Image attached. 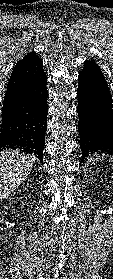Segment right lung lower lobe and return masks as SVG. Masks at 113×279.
<instances>
[{
    "mask_svg": "<svg viewBox=\"0 0 113 279\" xmlns=\"http://www.w3.org/2000/svg\"><path fill=\"white\" fill-rule=\"evenodd\" d=\"M43 63L5 97L3 104L0 150L21 149L43 161L47 130L48 91Z\"/></svg>",
    "mask_w": 113,
    "mask_h": 279,
    "instance_id": "98d812e1",
    "label": "right lung lower lobe"
}]
</instances>
